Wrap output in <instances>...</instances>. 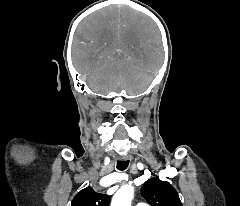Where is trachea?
Segmentation results:
<instances>
[{
  "label": "trachea",
  "instance_id": "trachea-1",
  "mask_svg": "<svg viewBox=\"0 0 240 206\" xmlns=\"http://www.w3.org/2000/svg\"><path fill=\"white\" fill-rule=\"evenodd\" d=\"M129 165V161H117V169L125 170Z\"/></svg>",
  "mask_w": 240,
  "mask_h": 206
}]
</instances>
